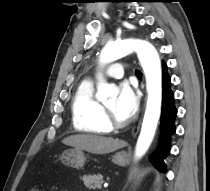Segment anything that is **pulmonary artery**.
Returning a JSON list of instances; mask_svg holds the SVG:
<instances>
[{"label": "pulmonary artery", "instance_id": "pulmonary-artery-1", "mask_svg": "<svg viewBox=\"0 0 210 191\" xmlns=\"http://www.w3.org/2000/svg\"><path fill=\"white\" fill-rule=\"evenodd\" d=\"M107 75L111 78L119 79L124 75V69L122 64H115L107 71Z\"/></svg>", "mask_w": 210, "mask_h": 191}]
</instances>
